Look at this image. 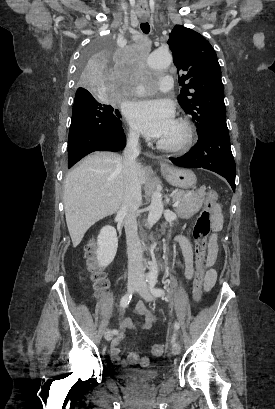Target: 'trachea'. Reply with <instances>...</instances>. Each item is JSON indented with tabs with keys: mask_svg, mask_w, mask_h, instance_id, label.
<instances>
[{
	"mask_svg": "<svg viewBox=\"0 0 275 409\" xmlns=\"http://www.w3.org/2000/svg\"><path fill=\"white\" fill-rule=\"evenodd\" d=\"M140 27H141L142 32H144V33H146V34L150 32V25H149V23H147V22L141 23V24H140Z\"/></svg>",
	"mask_w": 275,
	"mask_h": 409,
	"instance_id": "3493384b",
	"label": "trachea"
}]
</instances>
